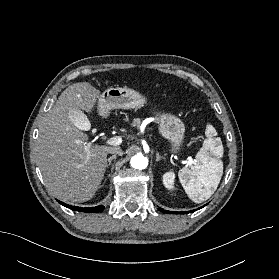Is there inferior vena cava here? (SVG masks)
Masks as SVG:
<instances>
[{"instance_id": "602c4592", "label": "inferior vena cava", "mask_w": 279, "mask_h": 279, "mask_svg": "<svg viewBox=\"0 0 279 279\" xmlns=\"http://www.w3.org/2000/svg\"><path fill=\"white\" fill-rule=\"evenodd\" d=\"M111 154H117L119 156H122L123 155V151L120 147H114V148H111L110 151H109Z\"/></svg>"}]
</instances>
